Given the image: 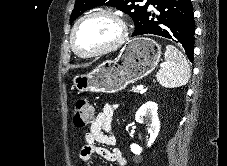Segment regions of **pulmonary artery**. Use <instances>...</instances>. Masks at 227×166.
<instances>
[{
    "label": "pulmonary artery",
    "mask_w": 227,
    "mask_h": 166,
    "mask_svg": "<svg viewBox=\"0 0 227 166\" xmlns=\"http://www.w3.org/2000/svg\"><path fill=\"white\" fill-rule=\"evenodd\" d=\"M150 7L153 8L154 7L153 4H150Z\"/></svg>",
    "instance_id": "obj_1"
}]
</instances>
